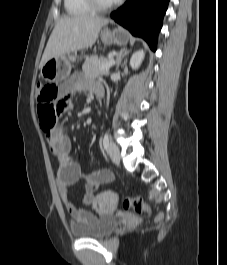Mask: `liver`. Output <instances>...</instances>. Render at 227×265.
Masks as SVG:
<instances>
[{
	"instance_id": "6515ba94",
	"label": "liver",
	"mask_w": 227,
	"mask_h": 265,
	"mask_svg": "<svg viewBox=\"0 0 227 265\" xmlns=\"http://www.w3.org/2000/svg\"><path fill=\"white\" fill-rule=\"evenodd\" d=\"M108 19L93 15L62 16L56 23L45 51L40 69L51 58L62 57L94 45Z\"/></svg>"
}]
</instances>
